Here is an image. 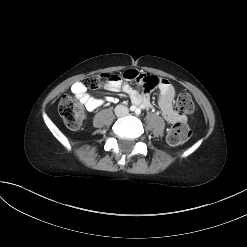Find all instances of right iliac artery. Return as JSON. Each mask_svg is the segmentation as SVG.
<instances>
[{"label":"right iliac artery","instance_id":"right-iliac-artery-1","mask_svg":"<svg viewBox=\"0 0 247 247\" xmlns=\"http://www.w3.org/2000/svg\"><path fill=\"white\" fill-rule=\"evenodd\" d=\"M135 109H136L135 106H131V107H130V110H131V111H135Z\"/></svg>","mask_w":247,"mask_h":247}]
</instances>
